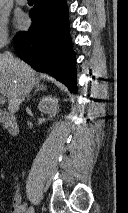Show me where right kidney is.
Listing matches in <instances>:
<instances>
[{"label": "right kidney", "mask_w": 128, "mask_h": 213, "mask_svg": "<svg viewBox=\"0 0 128 213\" xmlns=\"http://www.w3.org/2000/svg\"><path fill=\"white\" fill-rule=\"evenodd\" d=\"M38 109L48 114L51 118L55 117L58 113V99L52 97V95L44 96L38 104Z\"/></svg>", "instance_id": "ca27d5eb"}]
</instances>
